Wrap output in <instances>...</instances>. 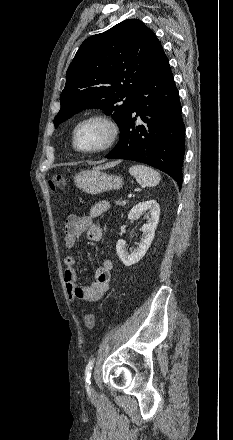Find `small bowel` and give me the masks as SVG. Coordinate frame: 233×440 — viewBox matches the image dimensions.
Returning a JSON list of instances; mask_svg holds the SVG:
<instances>
[{
  "instance_id": "small-bowel-1",
  "label": "small bowel",
  "mask_w": 233,
  "mask_h": 440,
  "mask_svg": "<svg viewBox=\"0 0 233 440\" xmlns=\"http://www.w3.org/2000/svg\"><path fill=\"white\" fill-rule=\"evenodd\" d=\"M109 208L107 201H100L87 214L69 215L65 223V245L70 250L74 247L79 236L86 232L91 242H98L102 238V228L95 222ZM77 259L73 253L65 258L64 281L69 298L73 301L93 302L100 299L109 289L113 261L106 258L95 272V280L90 285L77 283Z\"/></svg>"
}]
</instances>
